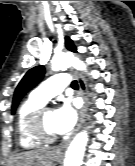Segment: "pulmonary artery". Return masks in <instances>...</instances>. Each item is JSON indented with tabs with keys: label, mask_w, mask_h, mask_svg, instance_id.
<instances>
[{
	"label": "pulmonary artery",
	"mask_w": 135,
	"mask_h": 166,
	"mask_svg": "<svg viewBox=\"0 0 135 166\" xmlns=\"http://www.w3.org/2000/svg\"><path fill=\"white\" fill-rule=\"evenodd\" d=\"M69 84L70 80L68 75L64 72H59L43 81L32 91L31 95L41 102L46 103L52 97L60 94Z\"/></svg>",
	"instance_id": "pulmonary-artery-1"
}]
</instances>
